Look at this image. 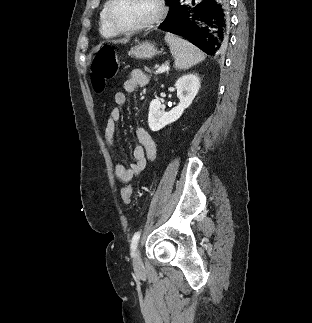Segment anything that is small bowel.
<instances>
[{"label":"small bowel","instance_id":"small-bowel-1","mask_svg":"<svg viewBox=\"0 0 312 323\" xmlns=\"http://www.w3.org/2000/svg\"><path fill=\"white\" fill-rule=\"evenodd\" d=\"M147 75L140 69L131 71L129 77L124 82L123 91L114 94V102L117 106H123L127 101L126 93L133 92L136 88L148 84ZM122 118V111L119 107L113 108L108 116L105 126V142L109 149L113 150L116 145V125ZM138 144L133 148L132 155L134 162L125 167L123 164L115 162L113 165L114 174L123 183H129L134 176L141 174L147 165L148 160L156 157V146L150 134L142 127L136 128Z\"/></svg>","mask_w":312,"mask_h":323}]
</instances>
